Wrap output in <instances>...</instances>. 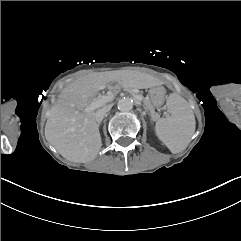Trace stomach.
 Wrapping results in <instances>:
<instances>
[{
    "label": "stomach",
    "mask_w": 241,
    "mask_h": 241,
    "mask_svg": "<svg viewBox=\"0 0 241 241\" xmlns=\"http://www.w3.org/2000/svg\"><path fill=\"white\" fill-rule=\"evenodd\" d=\"M149 97L151 103L156 106L160 107L164 103L165 99V90L163 87H155L149 90Z\"/></svg>",
    "instance_id": "1"
}]
</instances>
